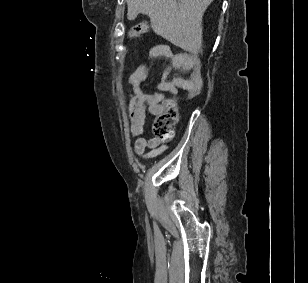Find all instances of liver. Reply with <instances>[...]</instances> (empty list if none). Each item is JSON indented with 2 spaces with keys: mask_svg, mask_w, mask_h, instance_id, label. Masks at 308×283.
Here are the masks:
<instances>
[{
  "mask_svg": "<svg viewBox=\"0 0 308 283\" xmlns=\"http://www.w3.org/2000/svg\"><path fill=\"white\" fill-rule=\"evenodd\" d=\"M127 18H150L153 31L185 51L202 47V18L213 0H126Z\"/></svg>",
  "mask_w": 308,
  "mask_h": 283,
  "instance_id": "liver-1",
  "label": "liver"
}]
</instances>
